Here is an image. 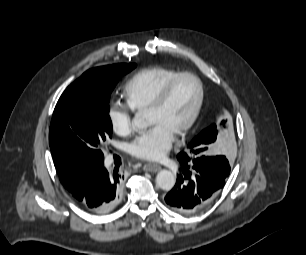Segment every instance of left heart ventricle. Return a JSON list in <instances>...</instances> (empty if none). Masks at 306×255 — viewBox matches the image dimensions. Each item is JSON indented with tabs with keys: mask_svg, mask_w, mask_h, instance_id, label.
I'll list each match as a JSON object with an SVG mask.
<instances>
[{
	"mask_svg": "<svg viewBox=\"0 0 306 255\" xmlns=\"http://www.w3.org/2000/svg\"><path fill=\"white\" fill-rule=\"evenodd\" d=\"M199 98V86L191 77L181 78L172 88L164 104L148 111L150 124H160L173 135L191 117Z\"/></svg>",
	"mask_w": 306,
	"mask_h": 255,
	"instance_id": "b2bd125f",
	"label": "left heart ventricle"
}]
</instances>
